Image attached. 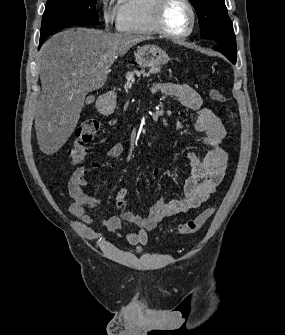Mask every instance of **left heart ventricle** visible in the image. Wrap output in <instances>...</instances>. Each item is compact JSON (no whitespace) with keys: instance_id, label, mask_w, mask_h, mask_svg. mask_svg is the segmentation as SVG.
Segmentation results:
<instances>
[{"instance_id":"1","label":"left heart ventricle","mask_w":285,"mask_h":335,"mask_svg":"<svg viewBox=\"0 0 285 335\" xmlns=\"http://www.w3.org/2000/svg\"><path fill=\"white\" fill-rule=\"evenodd\" d=\"M166 21L172 30H180L188 24L189 12L183 4L175 2L168 8Z\"/></svg>"}]
</instances>
